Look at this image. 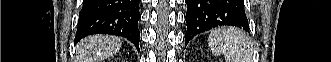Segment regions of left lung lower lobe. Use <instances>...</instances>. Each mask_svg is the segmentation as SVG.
<instances>
[{
    "instance_id": "1",
    "label": "left lung lower lobe",
    "mask_w": 331,
    "mask_h": 62,
    "mask_svg": "<svg viewBox=\"0 0 331 62\" xmlns=\"http://www.w3.org/2000/svg\"><path fill=\"white\" fill-rule=\"evenodd\" d=\"M187 31L185 43L211 28L232 25L249 29L243 0H185Z\"/></svg>"
}]
</instances>
